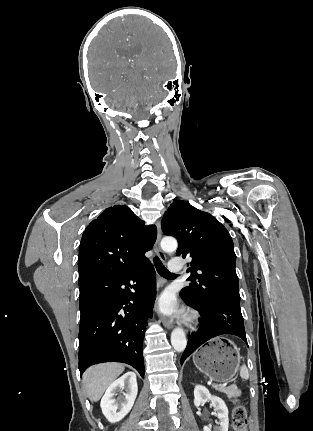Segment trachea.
<instances>
[{
  "label": "trachea",
  "mask_w": 313,
  "mask_h": 431,
  "mask_svg": "<svg viewBox=\"0 0 313 431\" xmlns=\"http://www.w3.org/2000/svg\"><path fill=\"white\" fill-rule=\"evenodd\" d=\"M154 265L157 269V272L164 278H173L175 277V274L169 272L165 266L162 264V262L160 261V259L156 256L154 257Z\"/></svg>",
  "instance_id": "obj_1"
}]
</instances>
